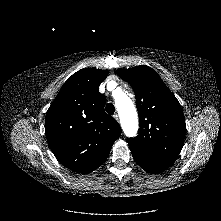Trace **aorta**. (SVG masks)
<instances>
[{
  "label": "aorta",
  "instance_id": "762f6f07",
  "mask_svg": "<svg viewBox=\"0 0 221 221\" xmlns=\"http://www.w3.org/2000/svg\"><path fill=\"white\" fill-rule=\"evenodd\" d=\"M115 105L125 135L128 137L136 136L138 131V115L133 102L126 94L121 93L115 97Z\"/></svg>",
  "mask_w": 221,
  "mask_h": 221
}]
</instances>
